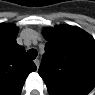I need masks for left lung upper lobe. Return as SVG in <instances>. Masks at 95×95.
<instances>
[{"mask_svg":"<svg viewBox=\"0 0 95 95\" xmlns=\"http://www.w3.org/2000/svg\"><path fill=\"white\" fill-rule=\"evenodd\" d=\"M47 43L39 75L51 95H82L95 86V41L73 26L44 31Z\"/></svg>","mask_w":95,"mask_h":95,"instance_id":"left-lung-upper-lobe-1","label":"left lung upper lobe"}]
</instances>
